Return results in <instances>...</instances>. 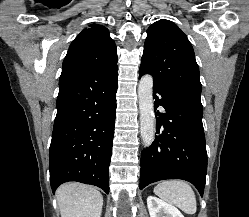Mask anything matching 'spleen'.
Returning <instances> with one entry per match:
<instances>
[{
    "label": "spleen",
    "mask_w": 249,
    "mask_h": 217,
    "mask_svg": "<svg viewBox=\"0 0 249 217\" xmlns=\"http://www.w3.org/2000/svg\"><path fill=\"white\" fill-rule=\"evenodd\" d=\"M154 193L165 201L178 206L186 214L197 210L196 196L191 186L183 180H167L154 188Z\"/></svg>",
    "instance_id": "spleen-1"
}]
</instances>
